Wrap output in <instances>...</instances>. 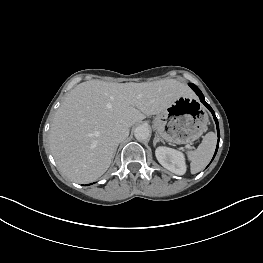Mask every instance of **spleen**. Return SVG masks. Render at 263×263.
Wrapping results in <instances>:
<instances>
[{"label":"spleen","mask_w":263,"mask_h":263,"mask_svg":"<svg viewBox=\"0 0 263 263\" xmlns=\"http://www.w3.org/2000/svg\"><path fill=\"white\" fill-rule=\"evenodd\" d=\"M216 146V135L213 132L207 133L201 144L195 151L187 153L192 174L200 172L211 159Z\"/></svg>","instance_id":"3e777b00"}]
</instances>
